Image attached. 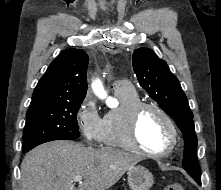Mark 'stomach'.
I'll list each match as a JSON object with an SVG mask.
<instances>
[{
    "label": "stomach",
    "mask_w": 221,
    "mask_h": 190,
    "mask_svg": "<svg viewBox=\"0 0 221 190\" xmlns=\"http://www.w3.org/2000/svg\"><path fill=\"white\" fill-rule=\"evenodd\" d=\"M154 183L152 173L138 165L128 171V184L131 190H150Z\"/></svg>",
    "instance_id": "1"
}]
</instances>
